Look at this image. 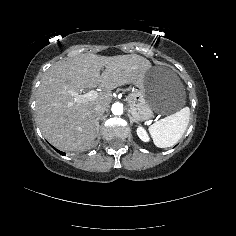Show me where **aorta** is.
Masks as SVG:
<instances>
[{"instance_id":"762f6f07","label":"aorta","mask_w":236,"mask_h":236,"mask_svg":"<svg viewBox=\"0 0 236 236\" xmlns=\"http://www.w3.org/2000/svg\"><path fill=\"white\" fill-rule=\"evenodd\" d=\"M111 109L114 115H120L123 113V105L120 102L113 103Z\"/></svg>"}]
</instances>
